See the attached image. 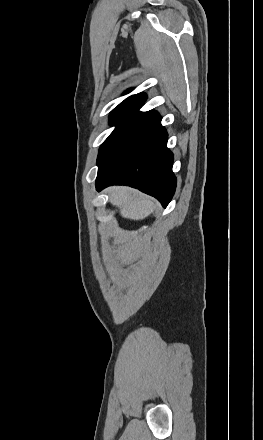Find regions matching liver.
I'll return each instance as SVG.
<instances>
[{"label":"liver","instance_id":"obj_1","mask_svg":"<svg viewBox=\"0 0 263 440\" xmlns=\"http://www.w3.org/2000/svg\"><path fill=\"white\" fill-rule=\"evenodd\" d=\"M110 203L120 208L122 217L132 220L146 218L155 208V204L148 197L126 187L111 189Z\"/></svg>","mask_w":263,"mask_h":440}]
</instances>
